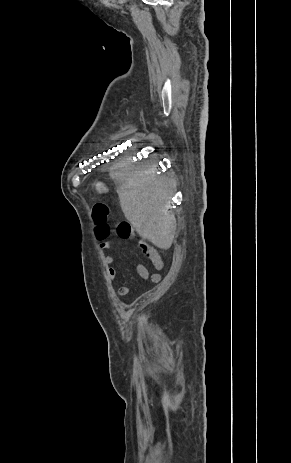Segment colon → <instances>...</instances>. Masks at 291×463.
Masks as SVG:
<instances>
[{
	"label": "colon",
	"mask_w": 291,
	"mask_h": 463,
	"mask_svg": "<svg viewBox=\"0 0 291 463\" xmlns=\"http://www.w3.org/2000/svg\"><path fill=\"white\" fill-rule=\"evenodd\" d=\"M110 208L105 203H96L92 208V219L94 222L95 237L104 244L111 233L124 239L134 238L132 226L127 221H120L115 226L109 222Z\"/></svg>",
	"instance_id": "colon-1"
}]
</instances>
